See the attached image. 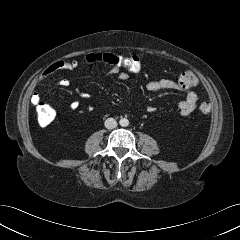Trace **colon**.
Returning <instances> with one entry per match:
<instances>
[{"instance_id":"5ec220e1","label":"colon","mask_w":240,"mask_h":240,"mask_svg":"<svg viewBox=\"0 0 240 240\" xmlns=\"http://www.w3.org/2000/svg\"><path fill=\"white\" fill-rule=\"evenodd\" d=\"M96 60L111 66L116 71L125 72L127 75L137 74L143 67L142 60L136 55L124 56L113 53H100V55L96 57ZM197 82V76L192 71L183 72L178 79V83L183 89H191L196 86ZM198 110L202 114H208L210 112V104L208 102H202L198 106ZM36 113L41 126L51 124L56 116L54 109L42 101L36 104Z\"/></svg>"}]
</instances>
